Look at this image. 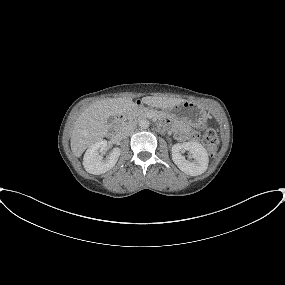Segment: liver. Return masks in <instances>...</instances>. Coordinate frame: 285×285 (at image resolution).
<instances>
[{"label":"liver","mask_w":285,"mask_h":285,"mask_svg":"<svg viewBox=\"0 0 285 285\" xmlns=\"http://www.w3.org/2000/svg\"><path fill=\"white\" fill-rule=\"evenodd\" d=\"M186 101L182 98L143 97L142 102L152 107L171 109ZM135 107L132 97L107 98L86 108L75 121L71 133V150L80 157L91 145L107 135V120L111 116L130 112Z\"/></svg>","instance_id":"liver-1"}]
</instances>
